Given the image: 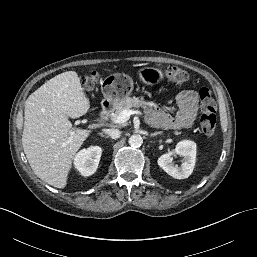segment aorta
<instances>
[{
  "label": "aorta",
  "mask_w": 257,
  "mask_h": 257,
  "mask_svg": "<svg viewBox=\"0 0 257 257\" xmlns=\"http://www.w3.org/2000/svg\"><path fill=\"white\" fill-rule=\"evenodd\" d=\"M128 143L131 147H140L143 143V138L139 134H133L130 136Z\"/></svg>",
  "instance_id": "762f6f07"
}]
</instances>
